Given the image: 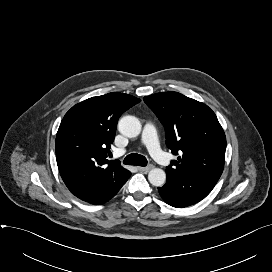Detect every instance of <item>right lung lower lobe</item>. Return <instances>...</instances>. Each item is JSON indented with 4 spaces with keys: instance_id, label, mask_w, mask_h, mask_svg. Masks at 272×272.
<instances>
[{
    "instance_id": "1",
    "label": "right lung lower lobe",
    "mask_w": 272,
    "mask_h": 272,
    "mask_svg": "<svg viewBox=\"0 0 272 272\" xmlns=\"http://www.w3.org/2000/svg\"><path fill=\"white\" fill-rule=\"evenodd\" d=\"M131 176V175H130ZM129 179V178H128ZM127 179V180H128ZM126 180V181H127ZM125 181V182H126ZM125 182L122 184V185H120L119 187H117L116 189H114L113 191H111L109 194H107V195H105L100 201H98V202H96V203H93V204H103V203H105V202H107L108 200H110L112 197H114L116 194H117V192L120 190V188L125 184Z\"/></svg>"
}]
</instances>
